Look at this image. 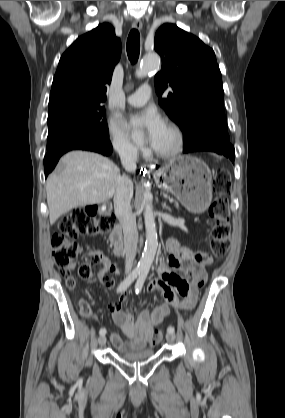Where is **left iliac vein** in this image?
I'll use <instances>...</instances> for the list:
<instances>
[{"mask_svg": "<svg viewBox=\"0 0 285 418\" xmlns=\"http://www.w3.org/2000/svg\"><path fill=\"white\" fill-rule=\"evenodd\" d=\"M175 338L176 337H175L174 333H167V335H166V339L171 343H173L175 341Z\"/></svg>", "mask_w": 285, "mask_h": 418, "instance_id": "obj_1", "label": "left iliac vein"}]
</instances>
